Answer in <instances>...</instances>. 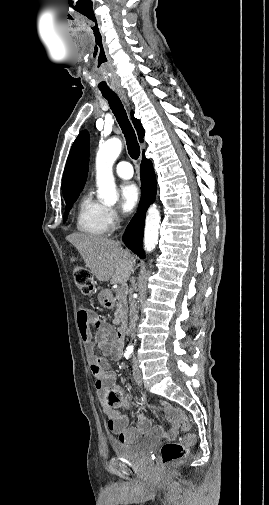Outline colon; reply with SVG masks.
Listing matches in <instances>:
<instances>
[{
	"label": "colon",
	"mask_w": 269,
	"mask_h": 505,
	"mask_svg": "<svg viewBox=\"0 0 269 505\" xmlns=\"http://www.w3.org/2000/svg\"><path fill=\"white\" fill-rule=\"evenodd\" d=\"M73 277L79 291L84 295H91L95 291V280L92 273L81 265H76L73 269ZM108 405L122 404L126 407L130 405L128 397H124L117 389L109 391L106 395ZM162 411V409H160ZM173 418L182 426L184 431L190 427L187 416L175 408L173 410ZM194 442V437L191 434L186 435L182 440L165 443L161 448V459L164 465L174 464L188 453V447Z\"/></svg>",
	"instance_id": "5ec220e1"
}]
</instances>
